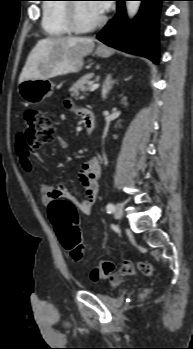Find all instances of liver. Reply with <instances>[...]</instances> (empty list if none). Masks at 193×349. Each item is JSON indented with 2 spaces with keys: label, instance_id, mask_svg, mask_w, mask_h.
I'll use <instances>...</instances> for the list:
<instances>
[{
  "label": "liver",
  "instance_id": "6515ba94",
  "mask_svg": "<svg viewBox=\"0 0 193 349\" xmlns=\"http://www.w3.org/2000/svg\"><path fill=\"white\" fill-rule=\"evenodd\" d=\"M94 40L80 37H48L37 42L31 50L19 77V83L27 79H49L78 72L83 58L94 48Z\"/></svg>",
  "mask_w": 193,
  "mask_h": 349
}]
</instances>
